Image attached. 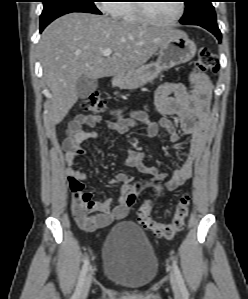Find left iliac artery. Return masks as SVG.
Here are the masks:
<instances>
[{
    "label": "left iliac artery",
    "mask_w": 248,
    "mask_h": 299,
    "mask_svg": "<svg viewBox=\"0 0 248 299\" xmlns=\"http://www.w3.org/2000/svg\"><path fill=\"white\" fill-rule=\"evenodd\" d=\"M173 271H174V274H175V276H176V278L178 280L181 292L183 294H187L188 293L187 288L185 286V283H184V280L182 278L181 272H180V270H179V268H178V266H177V264H176L175 261H173Z\"/></svg>",
    "instance_id": "1"
}]
</instances>
